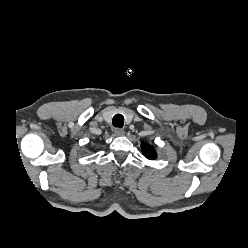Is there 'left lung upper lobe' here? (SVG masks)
<instances>
[{"label":"left lung upper lobe","mask_w":248,"mask_h":248,"mask_svg":"<svg viewBox=\"0 0 248 248\" xmlns=\"http://www.w3.org/2000/svg\"><path fill=\"white\" fill-rule=\"evenodd\" d=\"M141 148H142V152L146 158L152 160V159H155L157 157V153L154 150L153 146H151L149 144L142 143Z\"/></svg>","instance_id":"left-lung-upper-lobe-1"}]
</instances>
